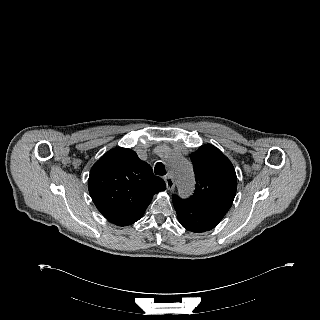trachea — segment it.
<instances>
[{
    "mask_svg": "<svg viewBox=\"0 0 320 320\" xmlns=\"http://www.w3.org/2000/svg\"><path fill=\"white\" fill-rule=\"evenodd\" d=\"M154 172L157 175H165L166 174V170H165V167H164L163 163L158 162L155 165Z\"/></svg>",
    "mask_w": 320,
    "mask_h": 320,
    "instance_id": "1",
    "label": "trachea"
}]
</instances>
